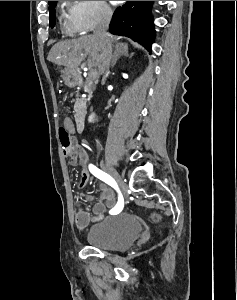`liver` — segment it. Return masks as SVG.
Masks as SVG:
<instances>
[{
	"label": "liver",
	"mask_w": 237,
	"mask_h": 300,
	"mask_svg": "<svg viewBox=\"0 0 237 300\" xmlns=\"http://www.w3.org/2000/svg\"><path fill=\"white\" fill-rule=\"evenodd\" d=\"M118 41L117 37L107 35L106 49H102L100 39H96L93 35H84L79 39H70V41H61L53 45L47 61L55 63V65H63L67 69H78L82 61L87 59L89 67H99V71L108 69L112 59V43ZM123 45V43H118ZM102 53H106V59H103Z\"/></svg>",
	"instance_id": "1"
}]
</instances>
